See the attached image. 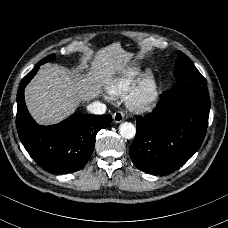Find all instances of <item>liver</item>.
I'll list each match as a JSON object with an SVG mask.
<instances>
[{
    "label": "liver",
    "instance_id": "obj_1",
    "mask_svg": "<svg viewBox=\"0 0 228 228\" xmlns=\"http://www.w3.org/2000/svg\"><path fill=\"white\" fill-rule=\"evenodd\" d=\"M131 53L119 42L98 50L89 71L73 74L63 66L47 63L25 88V100L34 119L44 125L56 124L74 113L81 102L103 93V87L117 82L125 73Z\"/></svg>",
    "mask_w": 228,
    "mask_h": 228
}]
</instances>
